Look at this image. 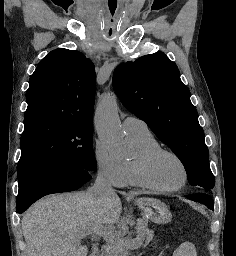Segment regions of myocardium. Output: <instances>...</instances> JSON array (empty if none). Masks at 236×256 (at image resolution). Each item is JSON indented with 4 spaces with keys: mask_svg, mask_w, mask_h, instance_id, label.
Masks as SVG:
<instances>
[{
    "mask_svg": "<svg viewBox=\"0 0 236 256\" xmlns=\"http://www.w3.org/2000/svg\"><path fill=\"white\" fill-rule=\"evenodd\" d=\"M171 155L173 156L183 167L184 170V179L182 183L175 187H164L159 185L158 183L155 182V180L152 177V164L154 160L159 157L160 155ZM134 165L137 173V177L140 181V183L145 187L153 191L157 192H174L179 189H181L188 181L189 179V171L187 164L185 161L182 159L180 155H178L176 152L165 149L162 147H158L155 149H151L145 152H139L136 153L134 159Z\"/></svg>",
    "mask_w": 236,
    "mask_h": 256,
    "instance_id": "1",
    "label": "myocardium"
}]
</instances>
